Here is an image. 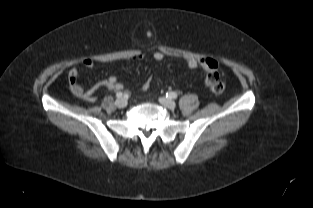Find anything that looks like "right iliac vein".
Segmentation results:
<instances>
[{"label": "right iliac vein", "instance_id": "63e3f726", "mask_svg": "<svg viewBox=\"0 0 313 208\" xmlns=\"http://www.w3.org/2000/svg\"><path fill=\"white\" fill-rule=\"evenodd\" d=\"M118 108H124L127 106V100L125 98H119L115 102Z\"/></svg>", "mask_w": 313, "mask_h": 208}]
</instances>
